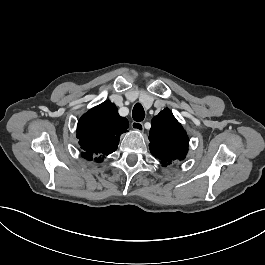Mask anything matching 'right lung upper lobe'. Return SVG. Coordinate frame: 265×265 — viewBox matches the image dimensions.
Segmentation results:
<instances>
[{"label": "right lung upper lobe", "instance_id": "cb5924a9", "mask_svg": "<svg viewBox=\"0 0 265 265\" xmlns=\"http://www.w3.org/2000/svg\"><path fill=\"white\" fill-rule=\"evenodd\" d=\"M128 120L118 114L110 101L92 108L84 114L77 126V138L82 149V157L102 162L116 151L120 135L127 131Z\"/></svg>", "mask_w": 265, "mask_h": 265}]
</instances>
